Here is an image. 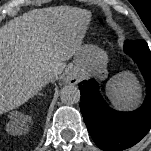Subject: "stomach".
<instances>
[{
    "instance_id": "obj_1",
    "label": "stomach",
    "mask_w": 151,
    "mask_h": 151,
    "mask_svg": "<svg viewBox=\"0 0 151 151\" xmlns=\"http://www.w3.org/2000/svg\"><path fill=\"white\" fill-rule=\"evenodd\" d=\"M107 63L108 56L104 50L92 44H85L76 54L72 73L104 79L107 75Z\"/></svg>"
}]
</instances>
